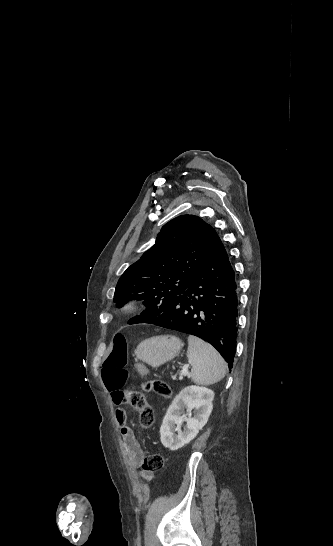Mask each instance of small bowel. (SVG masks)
<instances>
[{
  "label": "small bowel",
  "instance_id": "small-bowel-1",
  "mask_svg": "<svg viewBox=\"0 0 333 546\" xmlns=\"http://www.w3.org/2000/svg\"><path fill=\"white\" fill-rule=\"evenodd\" d=\"M134 370L137 374H148L150 372V369L147 367V363L145 361H136L134 363ZM143 378L146 380L148 377L145 375ZM122 392V390L110 391L111 400L117 406H120L124 403L122 400ZM126 416L127 414L125 410L121 408L117 410L116 418L118 423L121 425V436L123 439L124 449L128 462L133 467H139L142 465L144 452L136 435L129 428L128 424L125 423ZM142 477L145 480H151L153 478V473L144 471L142 473Z\"/></svg>",
  "mask_w": 333,
  "mask_h": 546
}]
</instances>
